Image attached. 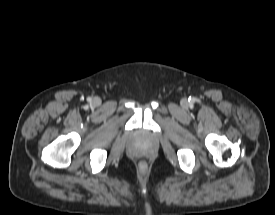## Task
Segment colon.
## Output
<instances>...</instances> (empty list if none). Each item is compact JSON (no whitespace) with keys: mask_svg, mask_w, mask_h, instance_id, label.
I'll return each instance as SVG.
<instances>
[{"mask_svg":"<svg viewBox=\"0 0 275 215\" xmlns=\"http://www.w3.org/2000/svg\"><path fill=\"white\" fill-rule=\"evenodd\" d=\"M146 168V163L142 162L140 163V169L144 170Z\"/></svg>","mask_w":275,"mask_h":215,"instance_id":"1","label":"colon"}]
</instances>
